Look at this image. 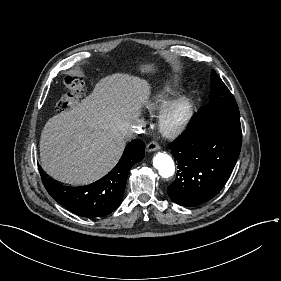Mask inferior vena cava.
<instances>
[{
    "instance_id": "inferior-vena-cava-1",
    "label": "inferior vena cava",
    "mask_w": 281,
    "mask_h": 281,
    "mask_svg": "<svg viewBox=\"0 0 281 281\" xmlns=\"http://www.w3.org/2000/svg\"><path fill=\"white\" fill-rule=\"evenodd\" d=\"M133 134H135V132H134V131H132V134H131V139L133 138Z\"/></svg>"
}]
</instances>
